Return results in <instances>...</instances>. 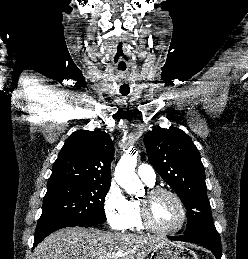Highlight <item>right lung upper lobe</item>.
<instances>
[{
    "label": "right lung upper lobe",
    "instance_id": "right-lung-upper-lobe-1",
    "mask_svg": "<svg viewBox=\"0 0 248 259\" xmlns=\"http://www.w3.org/2000/svg\"><path fill=\"white\" fill-rule=\"evenodd\" d=\"M113 154V143L107 133L101 130H77L62 147L53 165L48 185L110 183Z\"/></svg>",
    "mask_w": 248,
    "mask_h": 259
}]
</instances>
